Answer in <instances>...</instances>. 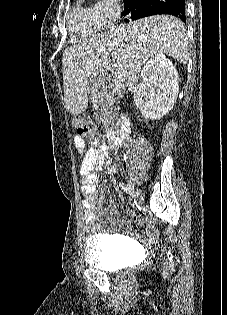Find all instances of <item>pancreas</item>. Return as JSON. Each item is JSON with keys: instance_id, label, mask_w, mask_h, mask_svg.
<instances>
[{"instance_id": "1", "label": "pancreas", "mask_w": 227, "mask_h": 315, "mask_svg": "<svg viewBox=\"0 0 227 315\" xmlns=\"http://www.w3.org/2000/svg\"><path fill=\"white\" fill-rule=\"evenodd\" d=\"M100 119L106 128H109L113 123L112 98L109 96H107L101 104Z\"/></svg>"}]
</instances>
